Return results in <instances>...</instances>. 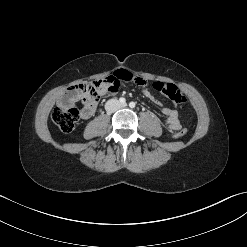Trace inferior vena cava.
Here are the masks:
<instances>
[{
  "label": "inferior vena cava",
  "mask_w": 247,
  "mask_h": 247,
  "mask_svg": "<svg viewBox=\"0 0 247 247\" xmlns=\"http://www.w3.org/2000/svg\"><path fill=\"white\" fill-rule=\"evenodd\" d=\"M119 108H121V104L116 99H111L105 104V109L109 113L115 112Z\"/></svg>",
  "instance_id": "1"
}]
</instances>
